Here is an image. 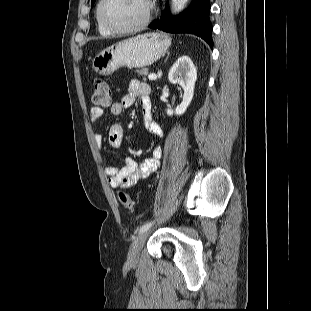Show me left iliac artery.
Segmentation results:
<instances>
[{
	"label": "left iliac artery",
	"mask_w": 311,
	"mask_h": 311,
	"mask_svg": "<svg viewBox=\"0 0 311 311\" xmlns=\"http://www.w3.org/2000/svg\"><path fill=\"white\" fill-rule=\"evenodd\" d=\"M152 224H153V221L147 222L144 225H142L139 229V233H143V232L147 231L152 226Z\"/></svg>",
	"instance_id": "44dca946"
}]
</instances>
